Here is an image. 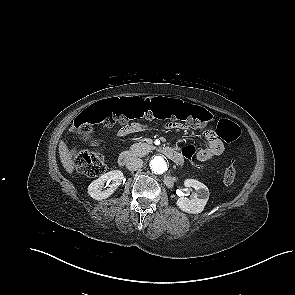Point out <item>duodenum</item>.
<instances>
[{
  "mask_svg": "<svg viewBox=\"0 0 295 295\" xmlns=\"http://www.w3.org/2000/svg\"><path fill=\"white\" fill-rule=\"evenodd\" d=\"M162 152L174 163L176 164H182L183 158L181 157V154L170 147H164L162 148ZM134 158V154L131 151H123L120 153L118 157V164L120 166L127 165L132 159Z\"/></svg>",
  "mask_w": 295,
  "mask_h": 295,
  "instance_id": "duodenum-1",
  "label": "duodenum"
}]
</instances>
